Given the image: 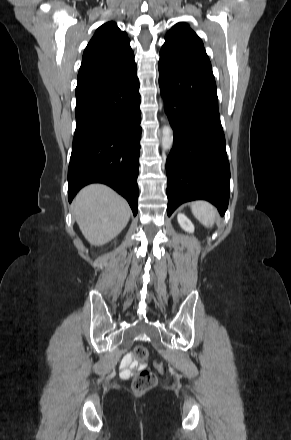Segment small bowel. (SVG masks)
<instances>
[{"instance_id": "small-bowel-1", "label": "small bowel", "mask_w": 291, "mask_h": 440, "mask_svg": "<svg viewBox=\"0 0 291 440\" xmlns=\"http://www.w3.org/2000/svg\"><path fill=\"white\" fill-rule=\"evenodd\" d=\"M145 367V364L138 361L134 354L127 353L123 356L120 364L121 373L123 375H131L136 370H141Z\"/></svg>"}]
</instances>
